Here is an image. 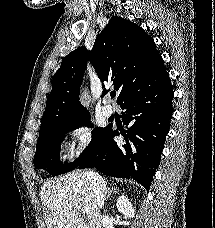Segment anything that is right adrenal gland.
<instances>
[{
    "mask_svg": "<svg viewBox=\"0 0 215 228\" xmlns=\"http://www.w3.org/2000/svg\"><path fill=\"white\" fill-rule=\"evenodd\" d=\"M117 192H120V190H118V188H116V186H111V188H109V190H108L107 200H108V198H110V196H115V194H117Z\"/></svg>",
    "mask_w": 215,
    "mask_h": 228,
    "instance_id": "2a0ac1e0",
    "label": "right adrenal gland"
}]
</instances>
